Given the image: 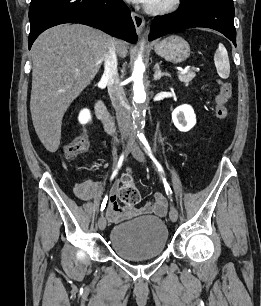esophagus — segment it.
Listing matches in <instances>:
<instances>
[{"label": "esophagus", "mask_w": 261, "mask_h": 306, "mask_svg": "<svg viewBox=\"0 0 261 306\" xmlns=\"http://www.w3.org/2000/svg\"><path fill=\"white\" fill-rule=\"evenodd\" d=\"M132 19L135 25V28L137 30L138 33H141L144 25H145V20L143 18V16H141L140 14L136 13V12H132Z\"/></svg>", "instance_id": "34e87169"}]
</instances>
